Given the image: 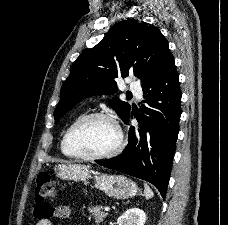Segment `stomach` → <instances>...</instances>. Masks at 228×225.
<instances>
[{
	"instance_id": "0dacf381",
	"label": "stomach",
	"mask_w": 228,
	"mask_h": 225,
	"mask_svg": "<svg viewBox=\"0 0 228 225\" xmlns=\"http://www.w3.org/2000/svg\"><path fill=\"white\" fill-rule=\"evenodd\" d=\"M54 171L56 177H60V179H71V181H82V183H87L88 179H94L96 189L114 199H131L139 193L136 183L123 175H104L102 173V175L91 177V171L87 165H67V167L56 165Z\"/></svg>"
}]
</instances>
